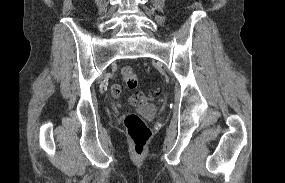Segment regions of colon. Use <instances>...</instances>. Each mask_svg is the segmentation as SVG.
<instances>
[{
  "label": "colon",
  "instance_id": "1",
  "mask_svg": "<svg viewBox=\"0 0 285 183\" xmlns=\"http://www.w3.org/2000/svg\"><path fill=\"white\" fill-rule=\"evenodd\" d=\"M122 78L130 89L136 88L138 77L135 70L125 66L121 71ZM145 98L143 93H136L130 99L132 104H139ZM124 126L132 141L136 153H142L151 137V131L145 121L137 114H128L124 119Z\"/></svg>",
  "mask_w": 285,
  "mask_h": 183
}]
</instances>
